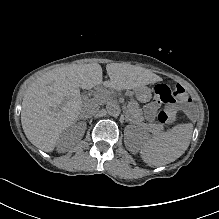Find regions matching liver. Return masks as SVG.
I'll return each instance as SVG.
<instances>
[{"instance_id":"liver-1","label":"liver","mask_w":219,"mask_h":219,"mask_svg":"<svg viewBox=\"0 0 219 219\" xmlns=\"http://www.w3.org/2000/svg\"><path fill=\"white\" fill-rule=\"evenodd\" d=\"M110 89H132L151 83L149 70L127 64H108ZM103 83L99 64L67 65L37 77L26 89L22 102L21 124L28 140L48 152L59 134L88 110L93 115L103 105L106 94L82 101L81 89L91 90Z\"/></svg>"}]
</instances>
